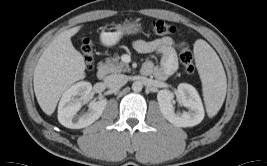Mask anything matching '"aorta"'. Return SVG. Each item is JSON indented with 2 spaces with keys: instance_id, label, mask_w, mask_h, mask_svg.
<instances>
[{
  "instance_id": "aorta-1",
  "label": "aorta",
  "mask_w": 267,
  "mask_h": 166,
  "mask_svg": "<svg viewBox=\"0 0 267 166\" xmlns=\"http://www.w3.org/2000/svg\"><path fill=\"white\" fill-rule=\"evenodd\" d=\"M143 88V85L140 81H135L133 84H132V90L134 92H140Z\"/></svg>"
}]
</instances>
